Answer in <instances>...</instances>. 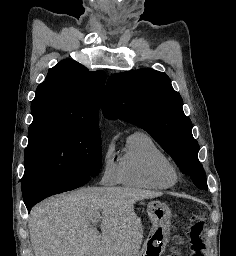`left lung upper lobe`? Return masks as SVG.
<instances>
[{
  "mask_svg": "<svg viewBox=\"0 0 236 256\" xmlns=\"http://www.w3.org/2000/svg\"><path fill=\"white\" fill-rule=\"evenodd\" d=\"M183 101L162 72L143 68L112 75L106 85L102 109L108 118L133 123L147 131L171 155L183 174L207 190L198 160L199 145L192 135L191 120Z\"/></svg>",
  "mask_w": 236,
  "mask_h": 256,
  "instance_id": "left-lung-upper-lobe-1",
  "label": "left lung upper lobe"
}]
</instances>
